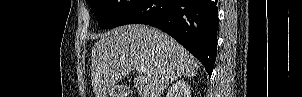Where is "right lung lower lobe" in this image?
<instances>
[{
    "label": "right lung lower lobe",
    "instance_id": "obj_1",
    "mask_svg": "<svg viewBox=\"0 0 302 97\" xmlns=\"http://www.w3.org/2000/svg\"><path fill=\"white\" fill-rule=\"evenodd\" d=\"M217 0H144L122 22L149 24L182 44L209 76L217 54Z\"/></svg>",
    "mask_w": 302,
    "mask_h": 97
}]
</instances>
